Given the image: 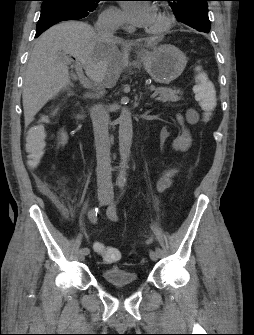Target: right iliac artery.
Masks as SVG:
<instances>
[{
    "mask_svg": "<svg viewBox=\"0 0 254 335\" xmlns=\"http://www.w3.org/2000/svg\"><path fill=\"white\" fill-rule=\"evenodd\" d=\"M97 214H98L97 207L90 209V211L88 212V217L93 224L97 223ZM82 250L85 252L86 255L90 253V250L87 247L82 248Z\"/></svg>",
    "mask_w": 254,
    "mask_h": 335,
    "instance_id": "obj_1",
    "label": "right iliac artery"
}]
</instances>
